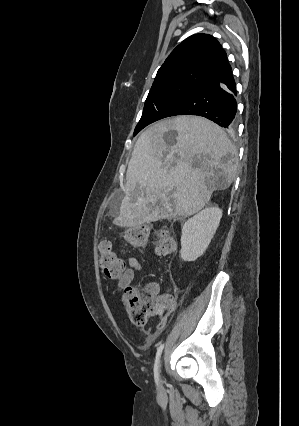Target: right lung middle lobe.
Listing matches in <instances>:
<instances>
[{"label": "right lung middle lobe", "instance_id": "1", "mask_svg": "<svg viewBox=\"0 0 299 426\" xmlns=\"http://www.w3.org/2000/svg\"><path fill=\"white\" fill-rule=\"evenodd\" d=\"M197 87L188 83H167L152 87L145 101L142 117L134 130V136L150 123L159 120L169 106Z\"/></svg>", "mask_w": 299, "mask_h": 426}]
</instances>
